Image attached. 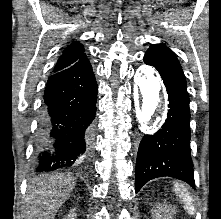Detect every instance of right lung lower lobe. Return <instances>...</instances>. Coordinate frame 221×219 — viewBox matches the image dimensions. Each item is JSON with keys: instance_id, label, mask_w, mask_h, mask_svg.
I'll list each match as a JSON object with an SVG mask.
<instances>
[{"instance_id": "98d812e1", "label": "right lung lower lobe", "mask_w": 221, "mask_h": 219, "mask_svg": "<svg viewBox=\"0 0 221 219\" xmlns=\"http://www.w3.org/2000/svg\"><path fill=\"white\" fill-rule=\"evenodd\" d=\"M97 83L86 56L49 77L35 145V172L77 165L91 156Z\"/></svg>"}]
</instances>
